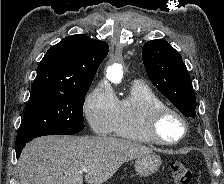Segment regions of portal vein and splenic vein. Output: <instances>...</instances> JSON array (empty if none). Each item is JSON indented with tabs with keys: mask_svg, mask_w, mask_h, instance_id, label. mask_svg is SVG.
Masks as SVG:
<instances>
[{
	"mask_svg": "<svg viewBox=\"0 0 224 184\" xmlns=\"http://www.w3.org/2000/svg\"><path fill=\"white\" fill-rule=\"evenodd\" d=\"M87 171H88L87 168L85 167L81 168V173H86Z\"/></svg>",
	"mask_w": 224,
	"mask_h": 184,
	"instance_id": "portal-vein-and-splenic-vein-1",
	"label": "portal vein and splenic vein"
}]
</instances>
